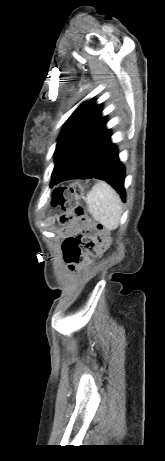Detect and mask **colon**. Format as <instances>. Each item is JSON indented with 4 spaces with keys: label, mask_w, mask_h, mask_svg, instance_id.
Here are the masks:
<instances>
[{
    "label": "colon",
    "mask_w": 165,
    "mask_h": 461,
    "mask_svg": "<svg viewBox=\"0 0 165 461\" xmlns=\"http://www.w3.org/2000/svg\"><path fill=\"white\" fill-rule=\"evenodd\" d=\"M81 190V185L75 183L71 186L59 187L54 191L52 203L63 210V214L60 216V223L65 224L75 216L78 217L83 223L88 224L90 229H93L95 235V240L91 238V241L87 242L84 248L93 251L96 247H106L109 243V238L103 226L101 224H93L81 207H75L76 198L81 193Z\"/></svg>",
    "instance_id": "1"
}]
</instances>
